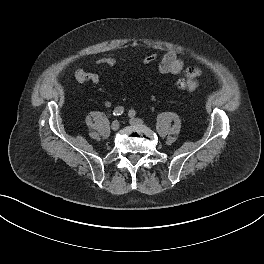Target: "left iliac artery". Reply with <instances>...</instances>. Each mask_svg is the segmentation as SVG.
<instances>
[{"label":"left iliac artery","mask_w":264,"mask_h":264,"mask_svg":"<svg viewBox=\"0 0 264 264\" xmlns=\"http://www.w3.org/2000/svg\"><path fill=\"white\" fill-rule=\"evenodd\" d=\"M135 115H136L135 110H130V111H129V116H130V117H134Z\"/></svg>","instance_id":"44dca946"}]
</instances>
